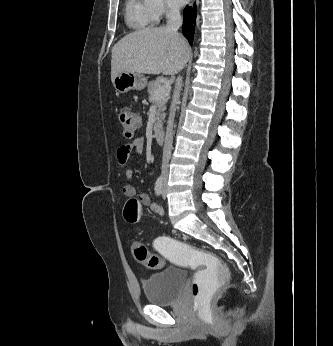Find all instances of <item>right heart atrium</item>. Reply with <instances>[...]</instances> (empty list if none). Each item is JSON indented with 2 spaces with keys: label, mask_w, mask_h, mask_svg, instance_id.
Listing matches in <instances>:
<instances>
[{
  "label": "right heart atrium",
  "mask_w": 333,
  "mask_h": 346,
  "mask_svg": "<svg viewBox=\"0 0 333 346\" xmlns=\"http://www.w3.org/2000/svg\"><path fill=\"white\" fill-rule=\"evenodd\" d=\"M145 4L154 23L178 13V8L172 3V0H145Z\"/></svg>",
  "instance_id": "d8ad5b80"
}]
</instances>
